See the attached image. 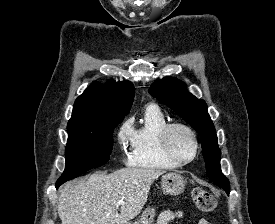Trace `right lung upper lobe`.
<instances>
[{
    "label": "right lung upper lobe",
    "instance_id": "obj_1",
    "mask_svg": "<svg viewBox=\"0 0 275 224\" xmlns=\"http://www.w3.org/2000/svg\"><path fill=\"white\" fill-rule=\"evenodd\" d=\"M133 98L134 86L129 81L93 82L76 99L68 126L122 120L128 114Z\"/></svg>",
    "mask_w": 275,
    "mask_h": 224
}]
</instances>
